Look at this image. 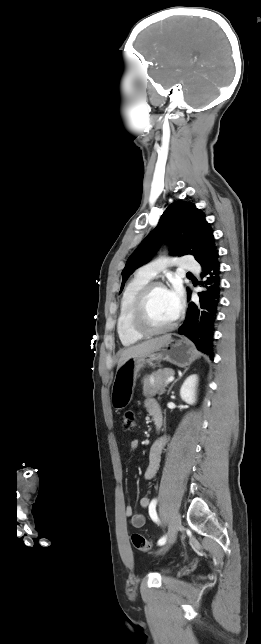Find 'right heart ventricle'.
<instances>
[{
    "instance_id": "obj_1",
    "label": "right heart ventricle",
    "mask_w": 261,
    "mask_h": 644,
    "mask_svg": "<svg viewBox=\"0 0 261 644\" xmlns=\"http://www.w3.org/2000/svg\"><path fill=\"white\" fill-rule=\"evenodd\" d=\"M150 280L151 278L138 272L123 290L117 319V333L120 342L124 346L136 344L143 338V336L136 333L131 327V313L137 294Z\"/></svg>"
}]
</instances>
